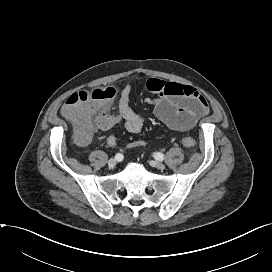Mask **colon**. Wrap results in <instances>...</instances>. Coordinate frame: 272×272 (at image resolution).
<instances>
[{
  "instance_id": "obj_1",
  "label": "colon",
  "mask_w": 272,
  "mask_h": 272,
  "mask_svg": "<svg viewBox=\"0 0 272 272\" xmlns=\"http://www.w3.org/2000/svg\"><path fill=\"white\" fill-rule=\"evenodd\" d=\"M114 97L115 90L106 87L79 91L67 98L62 113L73 124L75 138L79 143L84 144L90 140L95 127L96 114L104 110ZM182 144L192 148L196 145V141L191 137H184Z\"/></svg>"
}]
</instances>
